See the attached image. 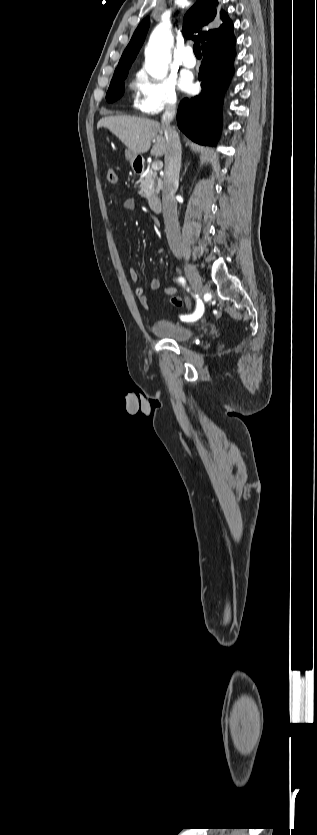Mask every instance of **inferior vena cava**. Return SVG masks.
I'll use <instances>...</instances> for the list:
<instances>
[{
  "label": "inferior vena cava",
  "mask_w": 317,
  "mask_h": 835,
  "mask_svg": "<svg viewBox=\"0 0 317 835\" xmlns=\"http://www.w3.org/2000/svg\"><path fill=\"white\" fill-rule=\"evenodd\" d=\"M176 115L175 103H169L162 115V127L164 129L166 150H165V176L162 191L163 217L166 235L170 249L176 257H180L181 234L177 215V203L175 192L178 188L179 173L181 167V143L178 133L171 127L170 123Z\"/></svg>",
  "instance_id": "inferior-vena-cava-1"
}]
</instances>
